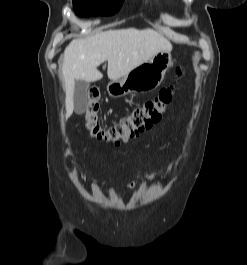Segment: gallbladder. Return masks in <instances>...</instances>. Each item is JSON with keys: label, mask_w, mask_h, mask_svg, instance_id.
Wrapping results in <instances>:
<instances>
[{"label": "gallbladder", "mask_w": 247, "mask_h": 265, "mask_svg": "<svg viewBox=\"0 0 247 265\" xmlns=\"http://www.w3.org/2000/svg\"><path fill=\"white\" fill-rule=\"evenodd\" d=\"M89 83L84 80H77L74 89V110L77 114H83L87 105V90Z\"/></svg>", "instance_id": "1"}]
</instances>
